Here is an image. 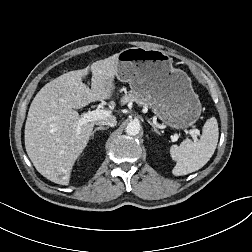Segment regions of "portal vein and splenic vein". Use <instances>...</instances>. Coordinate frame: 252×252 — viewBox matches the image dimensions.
I'll return each instance as SVG.
<instances>
[{
    "instance_id": "portal-vein-and-splenic-vein-1",
    "label": "portal vein and splenic vein",
    "mask_w": 252,
    "mask_h": 252,
    "mask_svg": "<svg viewBox=\"0 0 252 252\" xmlns=\"http://www.w3.org/2000/svg\"><path fill=\"white\" fill-rule=\"evenodd\" d=\"M109 115H110L109 112L106 110L97 109L94 111H89L83 114V116L78 120L77 125L78 127H80L85 123L97 121L105 117H108ZM189 133L194 135V138H196V136L200 134V131L198 129H195V130L189 131Z\"/></svg>"
}]
</instances>
